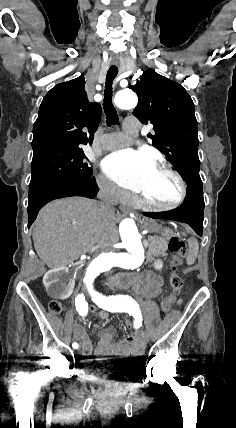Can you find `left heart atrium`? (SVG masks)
Masks as SVG:
<instances>
[{
    "instance_id": "1",
    "label": "left heart atrium",
    "mask_w": 236,
    "mask_h": 428,
    "mask_svg": "<svg viewBox=\"0 0 236 428\" xmlns=\"http://www.w3.org/2000/svg\"><path fill=\"white\" fill-rule=\"evenodd\" d=\"M155 166L154 159L145 153L125 149L107 157L103 163V171L107 177L119 185L140 193L146 178Z\"/></svg>"
}]
</instances>
